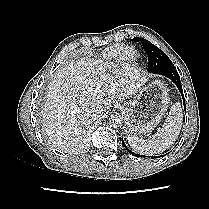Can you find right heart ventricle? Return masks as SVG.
<instances>
[{"label":"right heart ventricle","mask_w":209,"mask_h":209,"mask_svg":"<svg viewBox=\"0 0 209 209\" xmlns=\"http://www.w3.org/2000/svg\"><path fill=\"white\" fill-rule=\"evenodd\" d=\"M123 48L124 47L122 45H113V46L107 48L101 54L100 62L106 64V63H110L111 61L116 60L120 56ZM136 58H137V54L135 53L131 56V61L136 60Z\"/></svg>","instance_id":"right-heart-ventricle-1"}]
</instances>
